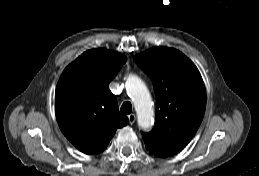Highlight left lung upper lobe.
Instances as JSON below:
<instances>
[{
  "label": "left lung upper lobe",
  "mask_w": 259,
  "mask_h": 176,
  "mask_svg": "<svg viewBox=\"0 0 259 176\" xmlns=\"http://www.w3.org/2000/svg\"><path fill=\"white\" fill-rule=\"evenodd\" d=\"M151 78L156 92L154 128L142 133L148 151L169 157L181 151L195 135L203 119L206 91L202 77L180 51L154 47L134 57Z\"/></svg>",
  "instance_id": "5c2ea615"
}]
</instances>
